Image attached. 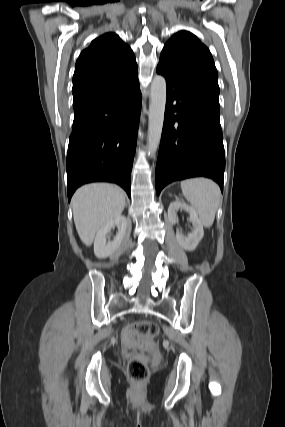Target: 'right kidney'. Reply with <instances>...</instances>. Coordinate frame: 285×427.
Masks as SVG:
<instances>
[{
  "label": "right kidney",
  "instance_id": "right-kidney-1",
  "mask_svg": "<svg viewBox=\"0 0 285 427\" xmlns=\"http://www.w3.org/2000/svg\"><path fill=\"white\" fill-rule=\"evenodd\" d=\"M118 228V232L113 241L106 240V235L113 227ZM127 230V218L118 216L102 226L96 234L94 240V254L97 258L103 259L111 257L120 247Z\"/></svg>",
  "mask_w": 285,
  "mask_h": 427
}]
</instances>
